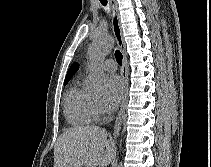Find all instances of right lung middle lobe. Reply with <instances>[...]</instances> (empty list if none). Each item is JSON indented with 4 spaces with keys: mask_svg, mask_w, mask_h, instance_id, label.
Here are the masks:
<instances>
[{
    "mask_svg": "<svg viewBox=\"0 0 211 167\" xmlns=\"http://www.w3.org/2000/svg\"><path fill=\"white\" fill-rule=\"evenodd\" d=\"M68 81H65L64 84H67Z\"/></svg>",
    "mask_w": 211,
    "mask_h": 167,
    "instance_id": "1",
    "label": "right lung middle lobe"
}]
</instances>
